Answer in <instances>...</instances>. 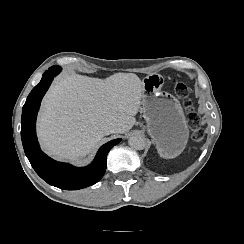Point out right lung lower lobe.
Masks as SVG:
<instances>
[{
	"mask_svg": "<svg viewBox=\"0 0 244 244\" xmlns=\"http://www.w3.org/2000/svg\"><path fill=\"white\" fill-rule=\"evenodd\" d=\"M61 71L59 66H52L45 71L40 83L30 92L22 109L21 138L25 154L36 173L50 185L66 190H77L98 182L106 171V158L110 149L121 139L104 144L94 161L87 167L77 168L70 164L57 162L39 147L36 136V117L41 100L53 78Z\"/></svg>",
	"mask_w": 244,
	"mask_h": 244,
	"instance_id": "obj_1",
	"label": "right lung lower lobe"
}]
</instances>
